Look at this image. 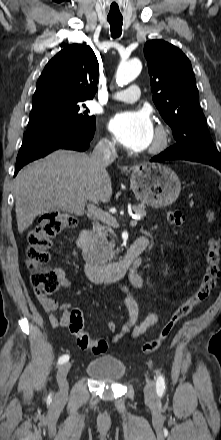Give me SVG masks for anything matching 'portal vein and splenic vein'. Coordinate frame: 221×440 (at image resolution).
Returning <instances> with one entry per match:
<instances>
[{
	"label": "portal vein and splenic vein",
	"instance_id": "1",
	"mask_svg": "<svg viewBox=\"0 0 221 440\" xmlns=\"http://www.w3.org/2000/svg\"><path fill=\"white\" fill-rule=\"evenodd\" d=\"M88 212L97 219H99L100 221L107 223L108 225H111L115 228L119 226L115 217L110 215L108 212L98 209L93 204L88 205ZM136 225H137V218H133V220L130 221V226L134 227Z\"/></svg>",
	"mask_w": 221,
	"mask_h": 440
}]
</instances>
